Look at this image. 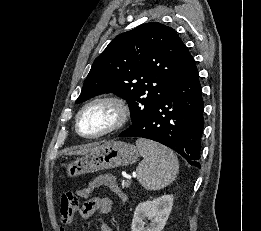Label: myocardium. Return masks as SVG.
I'll return each mask as SVG.
<instances>
[{"label": "myocardium", "instance_id": "myocardium-1", "mask_svg": "<svg viewBox=\"0 0 261 231\" xmlns=\"http://www.w3.org/2000/svg\"><path fill=\"white\" fill-rule=\"evenodd\" d=\"M99 103L110 104L116 109L117 111L116 122L108 129L101 131L99 133L91 134V135L83 134L79 129V120L81 115L89 107ZM130 118H131V108L125 99L115 95L100 96V97L93 98L92 100L88 101L80 108V110L78 111L75 117V131L77 132L78 135H80L83 138H87V139L100 138L121 130L128 124Z\"/></svg>", "mask_w": 261, "mask_h": 231}]
</instances>
